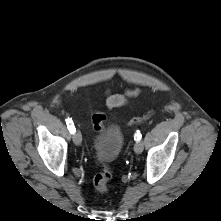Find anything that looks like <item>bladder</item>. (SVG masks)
<instances>
[{
  "mask_svg": "<svg viewBox=\"0 0 221 221\" xmlns=\"http://www.w3.org/2000/svg\"><path fill=\"white\" fill-rule=\"evenodd\" d=\"M124 141L123 131L119 126L111 125L95 141L98 158L109 162L116 159Z\"/></svg>",
  "mask_w": 221,
  "mask_h": 221,
  "instance_id": "obj_1",
  "label": "bladder"
}]
</instances>
